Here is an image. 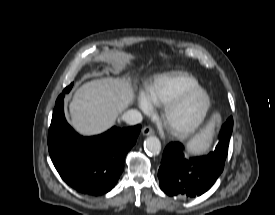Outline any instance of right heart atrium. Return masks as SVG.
<instances>
[{
    "mask_svg": "<svg viewBox=\"0 0 275 215\" xmlns=\"http://www.w3.org/2000/svg\"><path fill=\"white\" fill-rule=\"evenodd\" d=\"M139 107L145 112L150 113L153 109V103L148 98L147 94L141 93L138 99Z\"/></svg>",
    "mask_w": 275,
    "mask_h": 215,
    "instance_id": "obj_1",
    "label": "right heart atrium"
}]
</instances>
